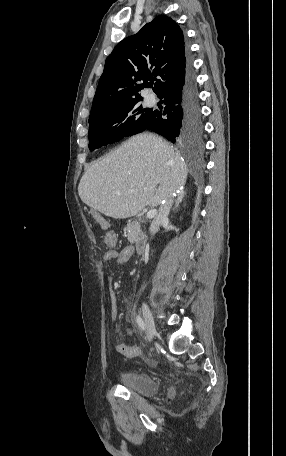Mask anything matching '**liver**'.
Returning <instances> with one entry per match:
<instances>
[{
  "instance_id": "1",
  "label": "liver",
  "mask_w": 286,
  "mask_h": 456,
  "mask_svg": "<svg viewBox=\"0 0 286 456\" xmlns=\"http://www.w3.org/2000/svg\"><path fill=\"white\" fill-rule=\"evenodd\" d=\"M187 167L167 141L142 133L93 162L82 176L78 193L89 207L121 219L156 207L185 184Z\"/></svg>"
}]
</instances>
